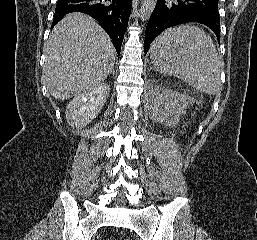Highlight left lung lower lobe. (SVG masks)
Wrapping results in <instances>:
<instances>
[{
	"instance_id": "left-lung-lower-lobe-1",
	"label": "left lung lower lobe",
	"mask_w": 257,
	"mask_h": 240,
	"mask_svg": "<svg viewBox=\"0 0 257 240\" xmlns=\"http://www.w3.org/2000/svg\"><path fill=\"white\" fill-rule=\"evenodd\" d=\"M190 22L205 25L220 41L218 0H157L146 27L145 54L163 30Z\"/></svg>"
}]
</instances>
